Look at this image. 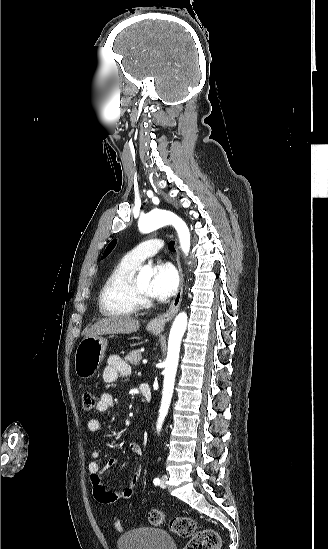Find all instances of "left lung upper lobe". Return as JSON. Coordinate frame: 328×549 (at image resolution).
Wrapping results in <instances>:
<instances>
[{
	"mask_svg": "<svg viewBox=\"0 0 328 549\" xmlns=\"http://www.w3.org/2000/svg\"><path fill=\"white\" fill-rule=\"evenodd\" d=\"M115 243H116V241L113 240V241L107 246V248H106L105 251H104L103 257L107 256V255L112 251V249H113L114 246H115Z\"/></svg>",
	"mask_w": 328,
	"mask_h": 549,
	"instance_id": "1",
	"label": "left lung upper lobe"
}]
</instances>
